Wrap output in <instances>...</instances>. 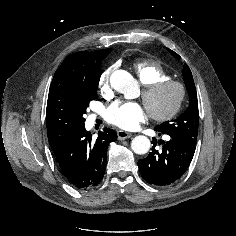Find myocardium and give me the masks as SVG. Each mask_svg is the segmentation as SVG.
Segmentation results:
<instances>
[{
	"label": "myocardium",
	"instance_id": "myocardium-1",
	"mask_svg": "<svg viewBox=\"0 0 236 236\" xmlns=\"http://www.w3.org/2000/svg\"><path fill=\"white\" fill-rule=\"evenodd\" d=\"M167 87H174L177 90V97L173 102V104L167 110L161 113L150 110L147 106L148 101L159 91ZM185 97H186L185 85L182 82L174 79H164L153 82L145 86L142 91V99L147 106L150 116L156 121H167L173 118L181 109Z\"/></svg>",
	"mask_w": 236,
	"mask_h": 236
}]
</instances>
